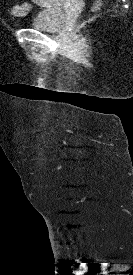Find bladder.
<instances>
[{"mask_svg": "<svg viewBox=\"0 0 133 275\" xmlns=\"http://www.w3.org/2000/svg\"><path fill=\"white\" fill-rule=\"evenodd\" d=\"M56 3H61L62 0H54ZM64 21V13L58 5H52L38 10L32 16L30 26L33 29L57 32Z\"/></svg>", "mask_w": 133, "mask_h": 275, "instance_id": "obj_1", "label": "bladder"}]
</instances>
